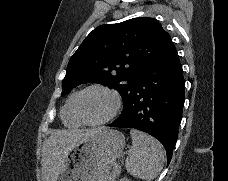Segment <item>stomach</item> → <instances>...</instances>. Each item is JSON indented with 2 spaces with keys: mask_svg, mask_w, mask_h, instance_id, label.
Returning a JSON list of instances; mask_svg holds the SVG:
<instances>
[{
  "mask_svg": "<svg viewBox=\"0 0 228 181\" xmlns=\"http://www.w3.org/2000/svg\"><path fill=\"white\" fill-rule=\"evenodd\" d=\"M125 137L114 129H101L68 153L59 181H108L113 163L122 155Z\"/></svg>",
  "mask_w": 228,
  "mask_h": 181,
  "instance_id": "0dacf381",
  "label": "stomach"
}]
</instances>
